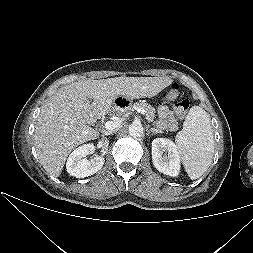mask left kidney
<instances>
[{"label": "left kidney", "mask_w": 253, "mask_h": 253, "mask_svg": "<svg viewBox=\"0 0 253 253\" xmlns=\"http://www.w3.org/2000/svg\"><path fill=\"white\" fill-rule=\"evenodd\" d=\"M168 153V156L164 155ZM152 161L155 168L169 176L176 177L180 172V155L175 143L167 138L152 141Z\"/></svg>", "instance_id": "5707ae66"}]
</instances>
